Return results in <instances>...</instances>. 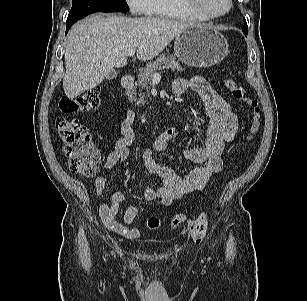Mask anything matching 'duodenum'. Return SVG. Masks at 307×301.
I'll return each mask as SVG.
<instances>
[{
	"instance_id": "1",
	"label": "duodenum",
	"mask_w": 307,
	"mask_h": 301,
	"mask_svg": "<svg viewBox=\"0 0 307 301\" xmlns=\"http://www.w3.org/2000/svg\"><path fill=\"white\" fill-rule=\"evenodd\" d=\"M134 84H135V77L134 76H132V75L125 76L123 78V83H122L125 93L130 92L133 89Z\"/></svg>"
}]
</instances>
